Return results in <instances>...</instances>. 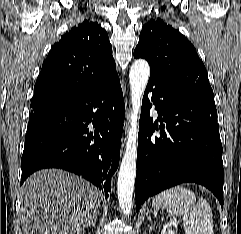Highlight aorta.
I'll return each mask as SVG.
<instances>
[{"mask_svg": "<svg viewBox=\"0 0 241 234\" xmlns=\"http://www.w3.org/2000/svg\"><path fill=\"white\" fill-rule=\"evenodd\" d=\"M149 76L150 67L148 62L144 59L135 60L129 72L132 103L130 127L117 181L118 202L120 208L126 215L130 214L133 205V191L137 163L138 126L142 96L147 86Z\"/></svg>", "mask_w": 241, "mask_h": 234, "instance_id": "aorta-1", "label": "aorta"}]
</instances>
